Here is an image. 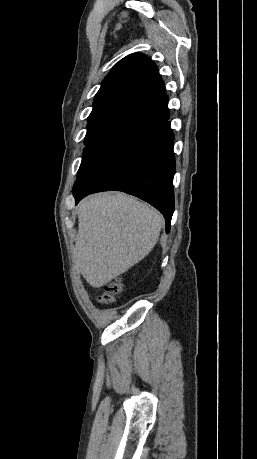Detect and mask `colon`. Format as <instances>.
Returning a JSON list of instances; mask_svg holds the SVG:
<instances>
[{"instance_id":"5ec220e1","label":"colon","mask_w":257,"mask_h":459,"mask_svg":"<svg viewBox=\"0 0 257 459\" xmlns=\"http://www.w3.org/2000/svg\"><path fill=\"white\" fill-rule=\"evenodd\" d=\"M121 289L122 283L119 278L106 281L102 285L98 301L102 304L113 303L116 299V296L120 293Z\"/></svg>"}]
</instances>
